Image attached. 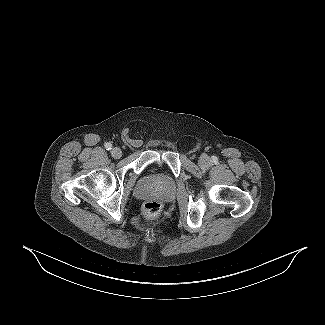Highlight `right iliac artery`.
<instances>
[{
  "mask_svg": "<svg viewBox=\"0 0 325 325\" xmlns=\"http://www.w3.org/2000/svg\"><path fill=\"white\" fill-rule=\"evenodd\" d=\"M105 148H106V150H111L112 149V144L111 143H106Z\"/></svg>",
  "mask_w": 325,
  "mask_h": 325,
  "instance_id": "right-iliac-artery-1",
  "label": "right iliac artery"
}]
</instances>
